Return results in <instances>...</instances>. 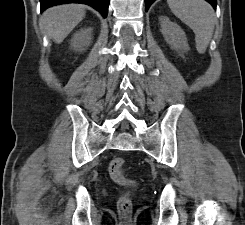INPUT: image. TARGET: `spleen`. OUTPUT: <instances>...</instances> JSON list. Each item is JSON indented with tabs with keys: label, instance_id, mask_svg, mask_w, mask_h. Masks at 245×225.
Instances as JSON below:
<instances>
[{
	"label": "spleen",
	"instance_id": "1",
	"mask_svg": "<svg viewBox=\"0 0 245 225\" xmlns=\"http://www.w3.org/2000/svg\"><path fill=\"white\" fill-rule=\"evenodd\" d=\"M167 3L174 15L195 33L197 51L205 53L216 21L211 5L204 0H167Z\"/></svg>",
	"mask_w": 245,
	"mask_h": 225
}]
</instances>
